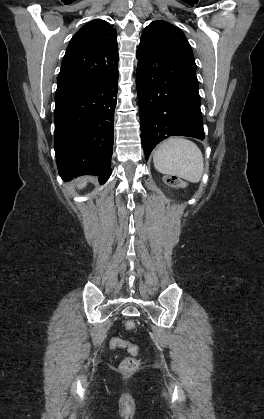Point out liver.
<instances>
[{
    "mask_svg": "<svg viewBox=\"0 0 264 419\" xmlns=\"http://www.w3.org/2000/svg\"><path fill=\"white\" fill-rule=\"evenodd\" d=\"M85 185H86V182H83L81 186L79 185V187H82V186H85Z\"/></svg>",
    "mask_w": 264,
    "mask_h": 419,
    "instance_id": "1",
    "label": "liver"
}]
</instances>
